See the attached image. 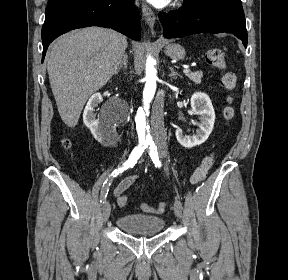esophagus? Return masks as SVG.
<instances>
[{
	"instance_id": "1",
	"label": "esophagus",
	"mask_w": 288,
	"mask_h": 280,
	"mask_svg": "<svg viewBox=\"0 0 288 280\" xmlns=\"http://www.w3.org/2000/svg\"><path fill=\"white\" fill-rule=\"evenodd\" d=\"M142 14H143V17H144L146 23L148 24V26L152 30V33L154 34L155 33L154 26H155V21H156L155 13L153 12V10L150 7L143 4L142 5Z\"/></svg>"
}]
</instances>
